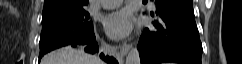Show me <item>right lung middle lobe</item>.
<instances>
[{
    "instance_id": "obj_1",
    "label": "right lung middle lobe",
    "mask_w": 242,
    "mask_h": 64,
    "mask_svg": "<svg viewBox=\"0 0 242 64\" xmlns=\"http://www.w3.org/2000/svg\"><path fill=\"white\" fill-rule=\"evenodd\" d=\"M93 35V24L85 8L43 13L39 57L70 43L90 39Z\"/></svg>"
}]
</instances>
